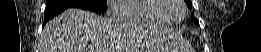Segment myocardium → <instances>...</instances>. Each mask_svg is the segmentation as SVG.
I'll use <instances>...</instances> for the list:
<instances>
[{
  "mask_svg": "<svg viewBox=\"0 0 261 52\" xmlns=\"http://www.w3.org/2000/svg\"><path fill=\"white\" fill-rule=\"evenodd\" d=\"M163 2V7L160 10L161 15L166 20L168 24H178L182 22L186 15V6L183 0H161ZM175 6H179L182 9V17L178 20H170L167 18L168 11L172 10Z\"/></svg>",
  "mask_w": 261,
  "mask_h": 52,
  "instance_id": "f54148a6",
  "label": "myocardium"
}]
</instances>
